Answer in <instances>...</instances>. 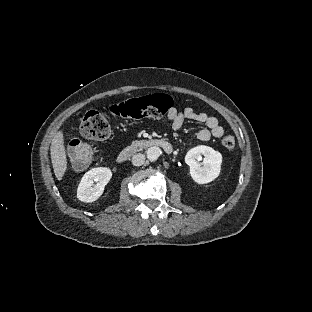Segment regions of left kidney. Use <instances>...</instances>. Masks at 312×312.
<instances>
[{
	"mask_svg": "<svg viewBox=\"0 0 312 312\" xmlns=\"http://www.w3.org/2000/svg\"><path fill=\"white\" fill-rule=\"evenodd\" d=\"M202 155L203 161L199 162ZM185 163L190 167L192 179L198 184H206L219 176L222 155L209 146L199 145L187 152Z\"/></svg>",
	"mask_w": 312,
	"mask_h": 312,
	"instance_id": "left-kidney-1",
	"label": "left kidney"
}]
</instances>
